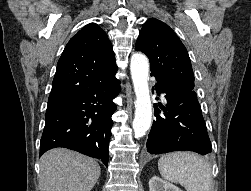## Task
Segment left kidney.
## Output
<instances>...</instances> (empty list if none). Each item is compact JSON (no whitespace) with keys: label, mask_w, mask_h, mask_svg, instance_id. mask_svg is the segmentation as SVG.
Instances as JSON below:
<instances>
[{"label":"left kidney","mask_w":251,"mask_h":191,"mask_svg":"<svg viewBox=\"0 0 251 191\" xmlns=\"http://www.w3.org/2000/svg\"><path fill=\"white\" fill-rule=\"evenodd\" d=\"M149 191H182V189L170 181H165L159 175H153L149 179Z\"/></svg>","instance_id":"left-kidney-1"}]
</instances>
